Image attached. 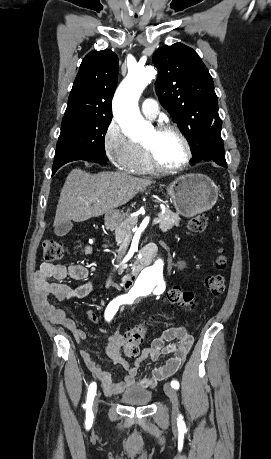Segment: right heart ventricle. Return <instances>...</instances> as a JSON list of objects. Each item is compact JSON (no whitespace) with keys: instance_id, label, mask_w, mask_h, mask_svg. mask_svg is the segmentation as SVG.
Listing matches in <instances>:
<instances>
[{"instance_id":"1","label":"right heart ventricle","mask_w":271,"mask_h":459,"mask_svg":"<svg viewBox=\"0 0 271 459\" xmlns=\"http://www.w3.org/2000/svg\"><path fill=\"white\" fill-rule=\"evenodd\" d=\"M126 169L137 174L150 173L155 169L143 143H133V155Z\"/></svg>"}]
</instances>
